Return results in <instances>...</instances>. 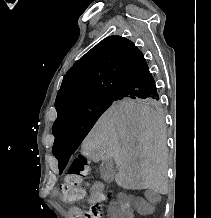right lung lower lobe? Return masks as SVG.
I'll use <instances>...</instances> for the list:
<instances>
[{
    "instance_id": "right-lung-lower-lobe-1",
    "label": "right lung lower lobe",
    "mask_w": 211,
    "mask_h": 218,
    "mask_svg": "<svg viewBox=\"0 0 211 218\" xmlns=\"http://www.w3.org/2000/svg\"><path fill=\"white\" fill-rule=\"evenodd\" d=\"M117 96L120 97H159L153 76L145 62L121 86Z\"/></svg>"
}]
</instances>
